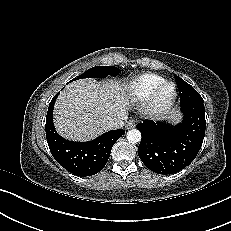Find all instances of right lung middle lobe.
<instances>
[{
	"instance_id": "right-lung-middle-lobe-1",
	"label": "right lung middle lobe",
	"mask_w": 231,
	"mask_h": 231,
	"mask_svg": "<svg viewBox=\"0 0 231 231\" xmlns=\"http://www.w3.org/2000/svg\"><path fill=\"white\" fill-rule=\"evenodd\" d=\"M119 72L120 70L114 66H96L88 69L86 72L79 75L74 80L82 78H105L109 75L115 77L119 74Z\"/></svg>"
}]
</instances>
